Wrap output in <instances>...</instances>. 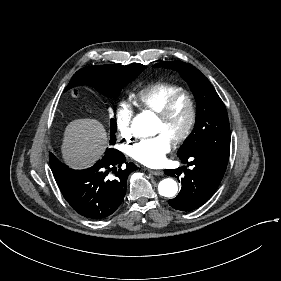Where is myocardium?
I'll list each match as a JSON object with an SVG mask.
<instances>
[{"mask_svg":"<svg viewBox=\"0 0 281 281\" xmlns=\"http://www.w3.org/2000/svg\"><path fill=\"white\" fill-rule=\"evenodd\" d=\"M180 100H184L187 103L188 119L183 130L180 133L172 135L169 138L170 141L176 144L185 141L190 136L195 126L197 119V109L192 96L187 92L175 94L170 97L159 110L153 112L154 116L158 120L165 121L168 118L170 112L172 111L174 105Z\"/></svg>","mask_w":281,"mask_h":281,"instance_id":"obj_1","label":"myocardium"}]
</instances>
